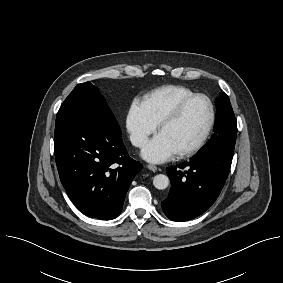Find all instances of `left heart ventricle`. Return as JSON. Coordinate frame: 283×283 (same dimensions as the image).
Returning a JSON list of instances; mask_svg holds the SVG:
<instances>
[{
  "label": "left heart ventricle",
  "instance_id": "obj_1",
  "mask_svg": "<svg viewBox=\"0 0 283 283\" xmlns=\"http://www.w3.org/2000/svg\"><path fill=\"white\" fill-rule=\"evenodd\" d=\"M210 118V107L205 99H196L184 110L181 117L160 133L175 147L177 152L194 145L204 133Z\"/></svg>",
  "mask_w": 283,
  "mask_h": 283
}]
</instances>
